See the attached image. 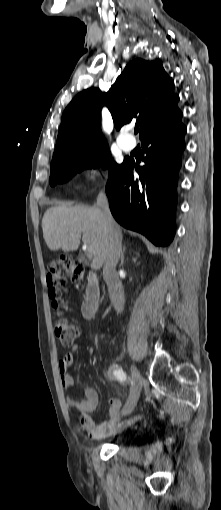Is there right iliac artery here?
I'll return each instance as SVG.
<instances>
[{
    "label": "right iliac artery",
    "mask_w": 221,
    "mask_h": 510,
    "mask_svg": "<svg viewBox=\"0 0 221 510\" xmlns=\"http://www.w3.org/2000/svg\"><path fill=\"white\" fill-rule=\"evenodd\" d=\"M114 375L121 382H126L127 381V375L122 370V368H118V369L114 370Z\"/></svg>",
    "instance_id": "obj_1"
}]
</instances>
